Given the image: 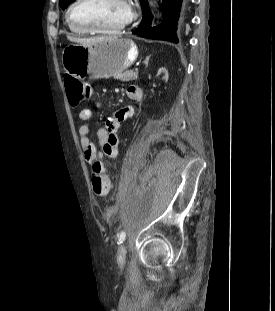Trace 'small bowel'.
Listing matches in <instances>:
<instances>
[{
	"label": "small bowel",
	"mask_w": 275,
	"mask_h": 311,
	"mask_svg": "<svg viewBox=\"0 0 275 311\" xmlns=\"http://www.w3.org/2000/svg\"><path fill=\"white\" fill-rule=\"evenodd\" d=\"M127 95L131 100L139 101L142 91L137 86H130ZM134 114L132 106H126L117 110L106 120L105 127L96 130V143L89 137L88 122L91 119L92 111L89 108L80 110L78 114V134L83 156L89 164L102 160L104 157L114 158L118 154V134L120 123ZM97 145L100 149H97Z\"/></svg>",
	"instance_id": "obj_1"
}]
</instances>
